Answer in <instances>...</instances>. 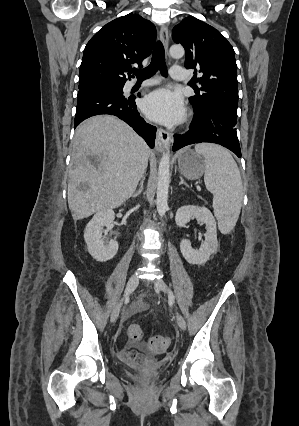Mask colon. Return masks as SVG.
<instances>
[{"mask_svg":"<svg viewBox=\"0 0 299 426\" xmlns=\"http://www.w3.org/2000/svg\"><path fill=\"white\" fill-rule=\"evenodd\" d=\"M127 334L130 340L137 342V341H140L142 338V329L138 324H131L128 327ZM170 343L171 342L168 337L158 335V336L151 337L147 341L146 346L152 352L164 353L169 348Z\"/></svg>","mask_w":299,"mask_h":426,"instance_id":"5ec220e1","label":"colon"}]
</instances>
